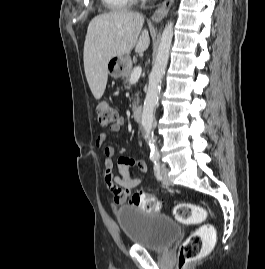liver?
Here are the masks:
<instances>
[{
    "label": "liver",
    "instance_id": "obj_1",
    "mask_svg": "<svg viewBox=\"0 0 265 269\" xmlns=\"http://www.w3.org/2000/svg\"><path fill=\"white\" fill-rule=\"evenodd\" d=\"M143 24V15L125 10L100 14L89 23L83 59L95 99L99 100L106 89L111 58L129 55L134 48L136 53H142L149 47V33L147 29L142 31Z\"/></svg>",
    "mask_w": 265,
    "mask_h": 269
}]
</instances>
